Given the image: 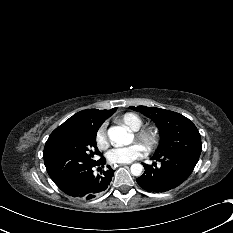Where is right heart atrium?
I'll use <instances>...</instances> for the list:
<instances>
[{
	"label": "right heart atrium",
	"mask_w": 233,
	"mask_h": 233,
	"mask_svg": "<svg viewBox=\"0 0 233 233\" xmlns=\"http://www.w3.org/2000/svg\"><path fill=\"white\" fill-rule=\"evenodd\" d=\"M95 142L99 149L104 150L109 146V140L105 125L98 128L95 134Z\"/></svg>",
	"instance_id": "obj_1"
}]
</instances>
